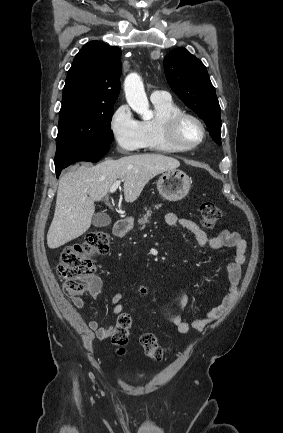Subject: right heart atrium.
I'll return each mask as SVG.
<instances>
[{"label":"right heart atrium","mask_w":283,"mask_h":433,"mask_svg":"<svg viewBox=\"0 0 283 433\" xmlns=\"http://www.w3.org/2000/svg\"><path fill=\"white\" fill-rule=\"evenodd\" d=\"M109 131L116 151L128 155L146 145L141 122L138 121L127 104L115 106L108 121Z\"/></svg>","instance_id":"d8ad5b80"}]
</instances>
